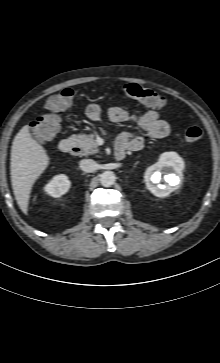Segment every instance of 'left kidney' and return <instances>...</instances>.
Here are the masks:
<instances>
[{"label":"left kidney","mask_w":220,"mask_h":363,"mask_svg":"<svg viewBox=\"0 0 220 363\" xmlns=\"http://www.w3.org/2000/svg\"><path fill=\"white\" fill-rule=\"evenodd\" d=\"M183 169L184 162L178 154L165 152L157 163L146 169L144 174L146 187L155 196L166 197L179 185ZM162 174L166 184L160 183Z\"/></svg>","instance_id":"1"}]
</instances>
